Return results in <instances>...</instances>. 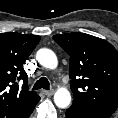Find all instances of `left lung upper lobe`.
I'll return each mask as SVG.
<instances>
[{"label": "left lung upper lobe", "instance_id": "left-lung-upper-lobe-1", "mask_svg": "<svg viewBox=\"0 0 118 118\" xmlns=\"http://www.w3.org/2000/svg\"><path fill=\"white\" fill-rule=\"evenodd\" d=\"M70 55L72 106L113 113L118 107V53L107 41L80 32L54 35Z\"/></svg>", "mask_w": 118, "mask_h": 118}]
</instances>
